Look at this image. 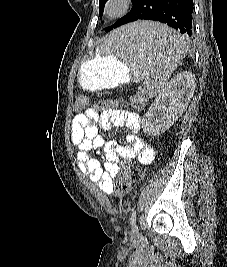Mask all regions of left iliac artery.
<instances>
[{"label":"left iliac artery","instance_id":"obj_1","mask_svg":"<svg viewBox=\"0 0 227 267\" xmlns=\"http://www.w3.org/2000/svg\"><path fill=\"white\" fill-rule=\"evenodd\" d=\"M135 219H136V210H133L132 211V215H131V218H130V222H131V225L133 226L134 222H135Z\"/></svg>","mask_w":227,"mask_h":267}]
</instances>
